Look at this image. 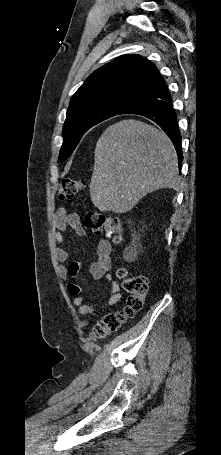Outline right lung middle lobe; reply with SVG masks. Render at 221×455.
<instances>
[{"instance_id": "dd1d6c3e", "label": "right lung middle lobe", "mask_w": 221, "mask_h": 455, "mask_svg": "<svg viewBox=\"0 0 221 455\" xmlns=\"http://www.w3.org/2000/svg\"><path fill=\"white\" fill-rule=\"evenodd\" d=\"M124 108L118 104L99 102L79 106L70 112L63 126V145L59 161L63 162L73 152L83 134L92 126L121 114Z\"/></svg>"}]
</instances>
